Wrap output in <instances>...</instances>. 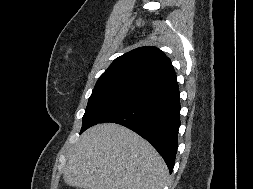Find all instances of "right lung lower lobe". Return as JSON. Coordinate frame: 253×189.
<instances>
[{"instance_id":"right-lung-lower-lobe-1","label":"right lung lower lobe","mask_w":253,"mask_h":189,"mask_svg":"<svg viewBox=\"0 0 253 189\" xmlns=\"http://www.w3.org/2000/svg\"><path fill=\"white\" fill-rule=\"evenodd\" d=\"M180 109L178 83L175 82L149 91L97 123L112 122L134 130L160 153L171 173L178 145Z\"/></svg>"}]
</instances>
